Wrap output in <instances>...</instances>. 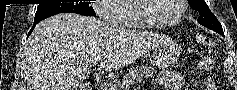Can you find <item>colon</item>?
I'll return each instance as SVG.
<instances>
[{"instance_id": "obj_1", "label": "colon", "mask_w": 237, "mask_h": 90, "mask_svg": "<svg viewBox=\"0 0 237 90\" xmlns=\"http://www.w3.org/2000/svg\"><path fill=\"white\" fill-rule=\"evenodd\" d=\"M201 42L207 46H211L213 44L212 40L207 36H202Z\"/></svg>"}]
</instances>
